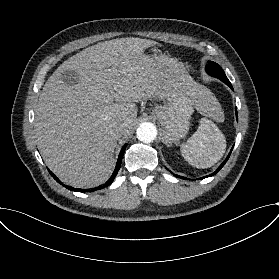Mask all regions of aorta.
Segmentation results:
<instances>
[{"instance_id":"aorta-1","label":"aorta","mask_w":279,"mask_h":279,"mask_svg":"<svg viewBox=\"0 0 279 279\" xmlns=\"http://www.w3.org/2000/svg\"><path fill=\"white\" fill-rule=\"evenodd\" d=\"M136 135L138 140L151 143L157 136L156 126L153 123L144 122L137 128Z\"/></svg>"}]
</instances>
